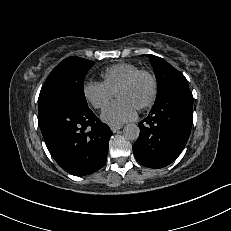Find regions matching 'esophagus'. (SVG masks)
Returning <instances> with one entry per match:
<instances>
[{"mask_svg":"<svg viewBox=\"0 0 231 231\" xmlns=\"http://www.w3.org/2000/svg\"><path fill=\"white\" fill-rule=\"evenodd\" d=\"M122 128V125H118V126H111V130L116 133L118 130H120Z\"/></svg>","mask_w":231,"mask_h":231,"instance_id":"1","label":"esophagus"}]
</instances>
